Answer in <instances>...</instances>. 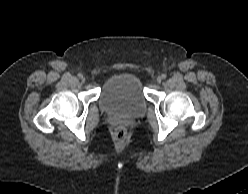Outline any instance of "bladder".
Segmentation results:
<instances>
[{
  "mask_svg": "<svg viewBox=\"0 0 248 194\" xmlns=\"http://www.w3.org/2000/svg\"><path fill=\"white\" fill-rule=\"evenodd\" d=\"M100 104L110 113L126 116L142 114L147 100L141 79L133 73L112 76L101 91Z\"/></svg>",
  "mask_w": 248,
  "mask_h": 194,
  "instance_id": "1",
  "label": "bladder"
}]
</instances>
